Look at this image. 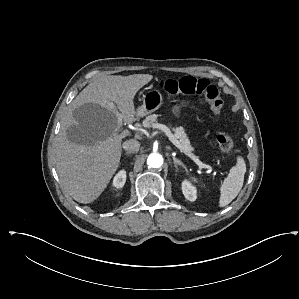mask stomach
I'll return each mask as SVG.
<instances>
[{
	"label": "stomach",
	"mask_w": 299,
	"mask_h": 299,
	"mask_svg": "<svg viewBox=\"0 0 299 299\" xmlns=\"http://www.w3.org/2000/svg\"><path fill=\"white\" fill-rule=\"evenodd\" d=\"M163 103V97L158 90H149L143 95V103L138 107L136 115L143 117L158 110Z\"/></svg>",
	"instance_id": "stomach-1"
}]
</instances>
